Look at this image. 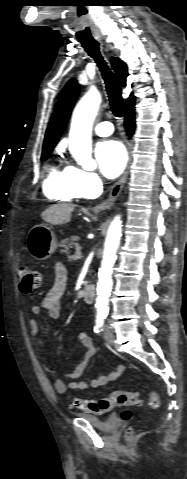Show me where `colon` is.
Here are the masks:
<instances>
[{
	"label": "colon",
	"instance_id": "obj_1",
	"mask_svg": "<svg viewBox=\"0 0 187 479\" xmlns=\"http://www.w3.org/2000/svg\"><path fill=\"white\" fill-rule=\"evenodd\" d=\"M18 276L20 279V290L23 293H30L37 289L41 284V274L31 266L21 264L18 267ZM140 404L139 394L135 390H115L101 399H73L72 407L87 413L104 414L115 407L126 409L122 413L125 420L132 416L127 410L129 407ZM149 405L152 408L159 406V397L155 392H151Z\"/></svg>",
	"mask_w": 187,
	"mask_h": 479
}]
</instances>
